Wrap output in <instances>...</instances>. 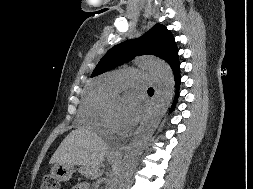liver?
<instances>
[{"instance_id": "6515ba94", "label": "liver", "mask_w": 253, "mask_h": 189, "mask_svg": "<svg viewBox=\"0 0 253 189\" xmlns=\"http://www.w3.org/2000/svg\"><path fill=\"white\" fill-rule=\"evenodd\" d=\"M108 154V146L97 134L78 128L61 142L50 164L81 165L86 176L98 177L101 175L100 165Z\"/></svg>"}]
</instances>
